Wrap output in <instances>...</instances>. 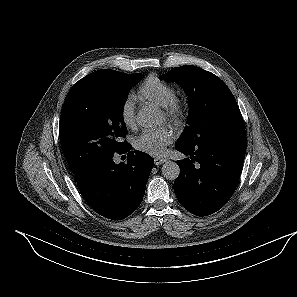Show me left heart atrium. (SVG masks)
<instances>
[{
  "mask_svg": "<svg viewBox=\"0 0 297 297\" xmlns=\"http://www.w3.org/2000/svg\"><path fill=\"white\" fill-rule=\"evenodd\" d=\"M174 139L173 132L167 127L145 130L135 141V147L151 155H162L165 147Z\"/></svg>",
  "mask_w": 297,
  "mask_h": 297,
  "instance_id": "39dd6f15",
  "label": "left heart atrium"
}]
</instances>
